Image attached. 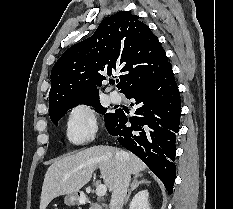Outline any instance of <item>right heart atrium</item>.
Segmentation results:
<instances>
[{"label":"right heart atrium","mask_w":233,"mask_h":209,"mask_svg":"<svg viewBox=\"0 0 233 209\" xmlns=\"http://www.w3.org/2000/svg\"><path fill=\"white\" fill-rule=\"evenodd\" d=\"M97 132V118L94 109L87 104H80L69 112L66 137L74 145L92 140Z\"/></svg>","instance_id":"1"}]
</instances>
